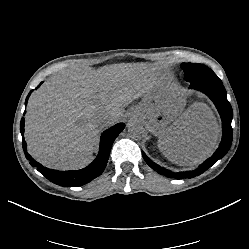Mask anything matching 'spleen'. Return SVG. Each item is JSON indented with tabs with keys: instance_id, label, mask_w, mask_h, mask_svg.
Masks as SVG:
<instances>
[{
	"instance_id": "3e777b00",
	"label": "spleen",
	"mask_w": 249,
	"mask_h": 249,
	"mask_svg": "<svg viewBox=\"0 0 249 249\" xmlns=\"http://www.w3.org/2000/svg\"><path fill=\"white\" fill-rule=\"evenodd\" d=\"M158 147H159V149L163 152V154H164L170 161L174 162V160L172 159L171 151H170V149H169L167 146L164 147V149H165L166 151H164L159 145H158Z\"/></svg>"
}]
</instances>
